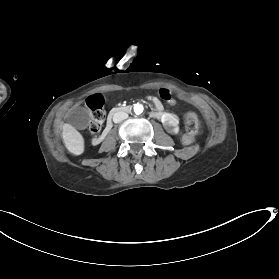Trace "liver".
<instances>
[{
	"label": "liver",
	"instance_id": "liver-1",
	"mask_svg": "<svg viewBox=\"0 0 279 279\" xmlns=\"http://www.w3.org/2000/svg\"><path fill=\"white\" fill-rule=\"evenodd\" d=\"M63 142L74 155H80L84 152V139L82 135L70 124L65 123L62 126Z\"/></svg>",
	"mask_w": 279,
	"mask_h": 279
}]
</instances>
